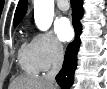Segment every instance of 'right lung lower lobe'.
Wrapping results in <instances>:
<instances>
[{
  "label": "right lung lower lobe",
  "mask_w": 107,
  "mask_h": 89,
  "mask_svg": "<svg viewBox=\"0 0 107 89\" xmlns=\"http://www.w3.org/2000/svg\"><path fill=\"white\" fill-rule=\"evenodd\" d=\"M72 24L76 33L75 40L71 42L65 53L63 67L56 76V81L62 89H69L74 81V71L77 66V52L80 45L81 34L80 18L83 15L82 0H71Z\"/></svg>",
  "instance_id": "obj_1"
}]
</instances>
